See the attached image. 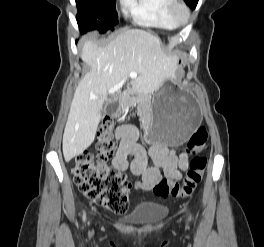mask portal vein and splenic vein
<instances>
[{
	"mask_svg": "<svg viewBox=\"0 0 264 247\" xmlns=\"http://www.w3.org/2000/svg\"><path fill=\"white\" fill-rule=\"evenodd\" d=\"M129 75H130V77L133 78V79L136 78V76H137L136 73H130ZM123 82H124V80H122L120 83H118V84H116L115 86H113L112 88H110V89H109V93H110V94L115 93V92H116V91L122 86ZM98 98H99V97L96 96V95H91V96H90V99H91V100H96V99H98Z\"/></svg>",
	"mask_w": 264,
	"mask_h": 247,
	"instance_id": "1",
	"label": "portal vein and splenic vein"
}]
</instances>
